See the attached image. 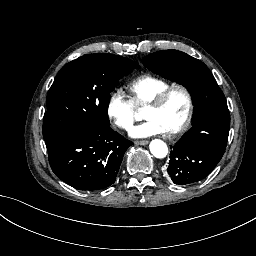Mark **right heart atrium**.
Here are the masks:
<instances>
[{"label": "right heart atrium", "instance_id": "1", "mask_svg": "<svg viewBox=\"0 0 256 256\" xmlns=\"http://www.w3.org/2000/svg\"><path fill=\"white\" fill-rule=\"evenodd\" d=\"M135 117H136L137 119H139V118H140V113L135 114Z\"/></svg>", "mask_w": 256, "mask_h": 256}]
</instances>
